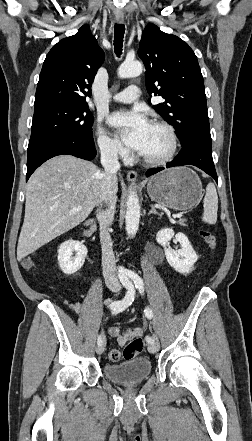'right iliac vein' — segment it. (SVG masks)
Returning <instances> with one entry per match:
<instances>
[{
  "instance_id": "right-iliac-vein-1",
  "label": "right iliac vein",
  "mask_w": 252,
  "mask_h": 441,
  "mask_svg": "<svg viewBox=\"0 0 252 441\" xmlns=\"http://www.w3.org/2000/svg\"><path fill=\"white\" fill-rule=\"evenodd\" d=\"M105 349V337L104 335L101 336V342L98 344L97 348H96V352L98 355L102 354L104 352Z\"/></svg>"
}]
</instances>
